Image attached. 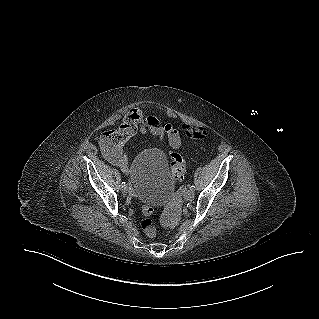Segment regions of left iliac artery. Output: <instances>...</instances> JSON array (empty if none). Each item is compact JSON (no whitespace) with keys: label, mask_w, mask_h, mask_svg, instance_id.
<instances>
[{"label":"left iliac artery","mask_w":319,"mask_h":319,"mask_svg":"<svg viewBox=\"0 0 319 319\" xmlns=\"http://www.w3.org/2000/svg\"><path fill=\"white\" fill-rule=\"evenodd\" d=\"M190 190L194 191V190H195V186L192 185V186L190 187Z\"/></svg>","instance_id":"left-iliac-artery-1"}]
</instances>
